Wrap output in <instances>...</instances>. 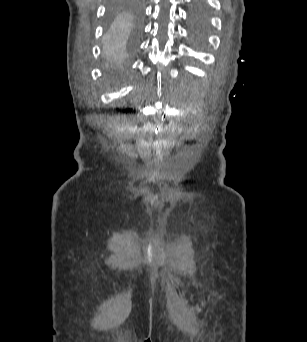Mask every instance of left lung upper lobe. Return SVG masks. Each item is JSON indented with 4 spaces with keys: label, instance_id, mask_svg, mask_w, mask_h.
I'll return each mask as SVG.
<instances>
[{
    "label": "left lung upper lobe",
    "instance_id": "1",
    "mask_svg": "<svg viewBox=\"0 0 307 342\" xmlns=\"http://www.w3.org/2000/svg\"><path fill=\"white\" fill-rule=\"evenodd\" d=\"M191 18L194 25L196 26L197 35H200L202 28L206 24V17L204 11L200 7H197L193 10Z\"/></svg>",
    "mask_w": 307,
    "mask_h": 342
}]
</instances>
